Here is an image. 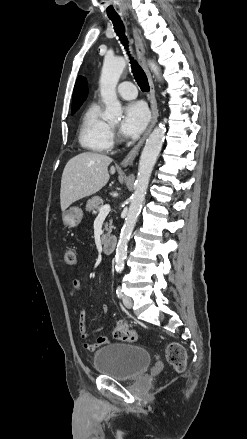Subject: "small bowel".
<instances>
[{"label":"small bowel","mask_w":247,"mask_h":439,"mask_svg":"<svg viewBox=\"0 0 247 439\" xmlns=\"http://www.w3.org/2000/svg\"><path fill=\"white\" fill-rule=\"evenodd\" d=\"M82 292V284L81 281L79 279H74L71 283V289H70V294L71 296H75L78 295ZM102 312L104 314V316L107 314L108 312V306L107 305H103L102 307ZM79 334L81 336V338L84 340L83 346L86 350L88 351H95L96 349H98L99 347L105 346L107 345L110 340L107 336H98L95 342H89L87 341L88 338L98 335L104 328V325H100L99 327H97L96 329H94L93 331H88L87 327H86V311L84 308H80L79 310Z\"/></svg>","instance_id":"c3829d8e"}]
</instances>
